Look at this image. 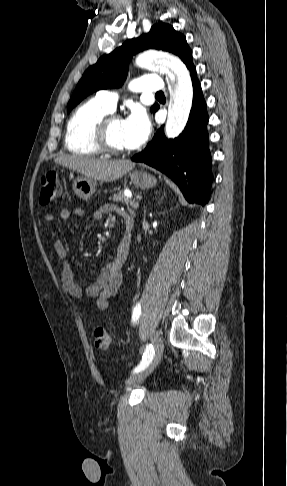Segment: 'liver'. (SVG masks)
<instances>
[{"label": "liver", "mask_w": 287, "mask_h": 486, "mask_svg": "<svg viewBox=\"0 0 287 486\" xmlns=\"http://www.w3.org/2000/svg\"><path fill=\"white\" fill-rule=\"evenodd\" d=\"M84 177L110 182L121 178L135 167L130 160H103L78 155H62L54 160Z\"/></svg>", "instance_id": "1"}]
</instances>
